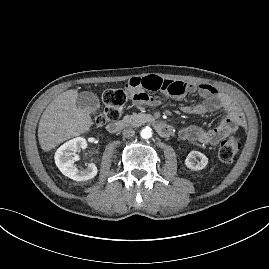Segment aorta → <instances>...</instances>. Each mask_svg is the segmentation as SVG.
Here are the masks:
<instances>
[{"label":"aorta","mask_w":269,"mask_h":269,"mask_svg":"<svg viewBox=\"0 0 269 269\" xmlns=\"http://www.w3.org/2000/svg\"><path fill=\"white\" fill-rule=\"evenodd\" d=\"M140 135L144 139H149L152 137V129L150 127H145L141 130Z\"/></svg>","instance_id":"1"}]
</instances>
